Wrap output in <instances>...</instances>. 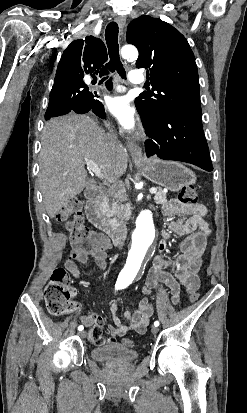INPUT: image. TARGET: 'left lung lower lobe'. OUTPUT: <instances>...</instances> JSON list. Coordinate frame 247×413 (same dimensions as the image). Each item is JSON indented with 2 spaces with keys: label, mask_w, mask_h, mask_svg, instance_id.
Here are the masks:
<instances>
[{
  "label": "left lung lower lobe",
  "mask_w": 247,
  "mask_h": 413,
  "mask_svg": "<svg viewBox=\"0 0 247 413\" xmlns=\"http://www.w3.org/2000/svg\"><path fill=\"white\" fill-rule=\"evenodd\" d=\"M144 126L152 138L145 143L147 156L157 155L164 160L187 162L206 171L213 170L201 118L168 112Z\"/></svg>",
  "instance_id": "1"
}]
</instances>
